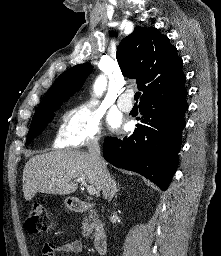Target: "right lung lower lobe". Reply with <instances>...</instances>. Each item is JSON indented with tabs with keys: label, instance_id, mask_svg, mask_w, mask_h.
<instances>
[{
	"label": "right lung lower lobe",
	"instance_id": "right-lung-lower-lobe-1",
	"mask_svg": "<svg viewBox=\"0 0 221 256\" xmlns=\"http://www.w3.org/2000/svg\"><path fill=\"white\" fill-rule=\"evenodd\" d=\"M186 98L184 90L140 102L141 123L130 137L105 138L104 159L143 175L165 191L177 169Z\"/></svg>",
	"mask_w": 221,
	"mask_h": 256
}]
</instances>
